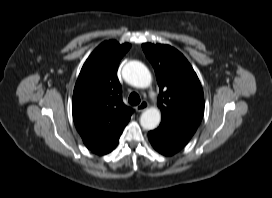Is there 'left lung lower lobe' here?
<instances>
[{"mask_svg":"<svg viewBox=\"0 0 272 198\" xmlns=\"http://www.w3.org/2000/svg\"><path fill=\"white\" fill-rule=\"evenodd\" d=\"M195 132L161 121L159 127L148 133L152 146L161 154L171 156L181 150Z\"/></svg>","mask_w":272,"mask_h":198,"instance_id":"1","label":"left lung lower lobe"}]
</instances>
